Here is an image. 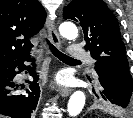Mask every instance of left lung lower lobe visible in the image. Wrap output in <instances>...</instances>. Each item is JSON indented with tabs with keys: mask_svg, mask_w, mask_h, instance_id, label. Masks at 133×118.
<instances>
[{
	"mask_svg": "<svg viewBox=\"0 0 133 118\" xmlns=\"http://www.w3.org/2000/svg\"><path fill=\"white\" fill-rule=\"evenodd\" d=\"M102 87L101 95L109 105L126 108L132 101V91L129 86L116 79L105 68L95 66Z\"/></svg>",
	"mask_w": 133,
	"mask_h": 118,
	"instance_id": "obj_1",
	"label": "left lung lower lobe"
}]
</instances>
